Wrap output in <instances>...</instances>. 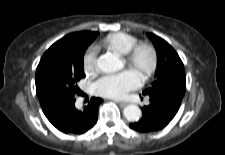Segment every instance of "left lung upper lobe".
<instances>
[{
  "instance_id": "5c2ea615",
  "label": "left lung upper lobe",
  "mask_w": 225,
  "mask_h": 155,
  "mask_svg": "<svg viewBox=\"0 0 225 155\" xmlns=\"http://www.w3.org/2000/svg\"><path fill=\"white\" fill-rule=\"evenodd\" d=\"M148 37L155 46L158 61L155 80L150 88L143 91V94L150 97L179 96L183 98L186 90V76L180 57L162 38L152 33H149Z\"/></svg>"
}]
</instances>
